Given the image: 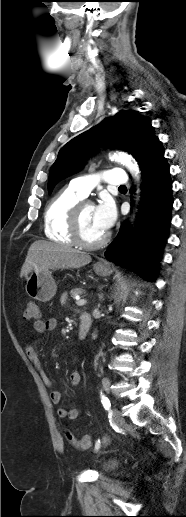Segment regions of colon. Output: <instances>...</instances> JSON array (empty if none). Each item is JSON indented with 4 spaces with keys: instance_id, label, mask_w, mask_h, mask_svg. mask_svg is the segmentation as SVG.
<instances>
[{
    "instance_id": "colon-1",
    "label": "colon",
    "mask_w": 186,
    "mask_h": 517,
    "mask_svg": "<svg viewBox=\"0 0 186 517\" xmlns=\"http://www.w3.org/2000/svg\"><path fill=\"white\" fill-rule=\"evenodd\" d=\"M25 318L28 320H36L40 317V309L37 302L30 300L26 303ZM67 440L77 449H87L92 444V437L85 435L82 438H76L71 432H66Z\"/></svg>"
}]
</instances>
